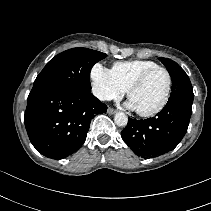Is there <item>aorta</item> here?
I'll use <instances>...</instances> for the list:
<instances>
[{"label":"aorta","instance_id":"aorta-1","mask_svg":"<svg viewBox=\"0 0 211 211\" xmlns=\"http://www.w3.org/2000/svg\"><path fill=\"white\" fill-rule=\"evenodd\" d=\"M114 122L117 126H126L128 117L123 112H117L114 116Z\"/></svg>","mask_w":211,"mask_h":211}]
</instances>
